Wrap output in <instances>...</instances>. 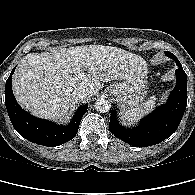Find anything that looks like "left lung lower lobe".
<instances>
[{"instance_id":"1","label":"left lung lower lobe","mask_w":195,"mask_h":195,"mask_svg":"<svg viewBox=\"0 0 195 195\" xmlns=\"http://www.w3.org/2000/svg\"><path fill=\"white\" fill-rule=\"evenodd\" d=\"M173 59L178 66L175 71L176 85L166 104L132 129L121 126L117 122L115 111H112L109 129L117 138L135 147H147L162 142L176 131L187 106V75L179 60L176 57Z\"/></svg>"}]
</instances>
